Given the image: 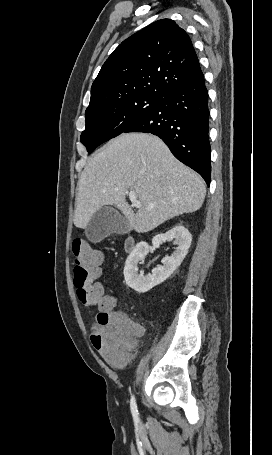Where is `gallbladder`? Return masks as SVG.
I'll list each match as a JSON object with an SVG mask.
<instances>
[{
	"label": "gallbladder",
	"mask_w": 272,
	"mask_h": 455,
	"mask_svg": "<svg viewBox=\"0 0 272 455\" xmlns=\"http://www.w3.org/2000/svg\"><path fill=\"white\" fill-rule=\"evenodd\" d=\"M128 232L127 221L110 206L98 210L85 228V235L92 242H100L110 234Z\"/></svg>",
	"instance_id": "1"
}]
</instances>
